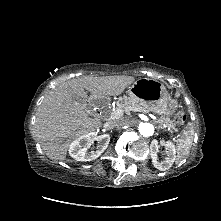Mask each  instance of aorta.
<instances>
[{"label": "aorta", "instance_id": "obj_1", "mask_svg": "<svg viewBox=\"0 0 221 221\" xmlns=\"http://www.w3.org/2000/svg\"><path fill=\"white\" fill-rule=\"evenodd\" d=\"M139 133L144 137H150L154 134V126L151 123H140Z\"/></svg>", "mask_w": 221, "mask_h": 221}]
</instances>
